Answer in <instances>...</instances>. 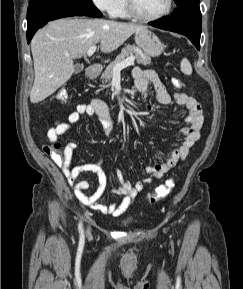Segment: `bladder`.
I'll list each match as a JSON object with an SVG mask.
<instances>
[{
  "label": "bladder",
  "instance_id": "1",
  "mask_svg": "<svg viewBox=\"0 0 243 289\" xmlns=\"http://www.w3.org/2000/svg\"><path fill=\"white\" fill-rule=\"evenodd\" d=\"M125 222H126V223H128V222H129V220H126Z\"/></svg>",
  "mask_w": 243,
  "mask_h": 289
}]
</instances>
